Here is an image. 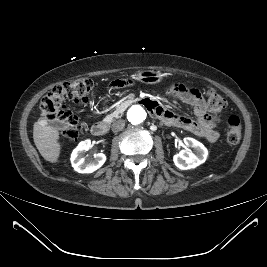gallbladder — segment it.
I'll list each match as a JSON object with an SVG mask.
<instances>
[{
  "label": "gallbladder",
  "instance_id": "bac80fb5",
  "mask_svg": "<svg viewBox=\"0 0 267 267\" xmlns=\"http://www.w3.org/2000/svg\"><path fill=\"white\" fill-rule=\"evenodd\" d=\"M55 127H63L67 123L64 120H54L52 123Z\"/></svg>",
  "mask_w": 267,
  "mask_h": 267
}]
</instances>
